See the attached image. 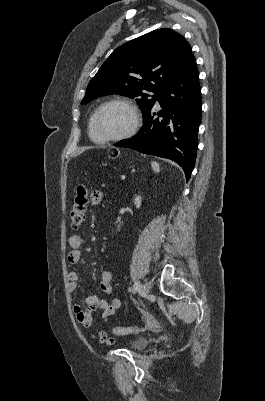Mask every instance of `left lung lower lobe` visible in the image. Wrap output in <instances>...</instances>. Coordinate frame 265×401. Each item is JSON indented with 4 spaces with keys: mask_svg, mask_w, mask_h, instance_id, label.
<instances>
[{
    "mask_svg": "<svg viewBox=\"0 0 265 401\" xmlns=\"http://www.w3.org/2000/svg\"><path fill=\"white\" fill-rule=\"evenodd\" d=\"M156 101L163 108L158 112L161 118H154L153 105L143 115L144 125L140 131L114 145L171 159L183 168L189 180L197 154L202 107L194 56L190 57L178 76L160 91Z\"/></svg>",
    "mask_w": 265,
    "mask_h": 401,
    "instance_id": "left-lung-lower-lobe-1",
    "label": "left lung lower lobe"
}]
</instances>
